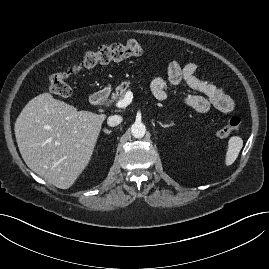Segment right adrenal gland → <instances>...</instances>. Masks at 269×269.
<instances>
[{"mask_svg":"<svg viewBox=\"0 0 269 269\" xmlns=\"http://www.w3.org/2000/svg\"><path fill=\"white\" fill-rule=\"evenodd\" d=\"M104 132H105L106 134H110L112 131H111V130H108V129H105Z\"/></svg>","mask_w":269,"mask_h":269,"instance_id":"2a0ac1e0","label":"right adrenal gland"}]
</instances>
